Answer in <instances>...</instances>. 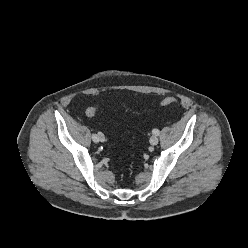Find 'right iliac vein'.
Masks as SVG:
<instances>
[{
    "label": "right iliac vein",
    "mask_w": 248,
    "mask_h": 248,
    "mask_svg": "<svg viewBox=\"0 0 248 248\" xmlns=\"http://www.w3.org/2000/svg\"><path fill=\"white\" fill-rule=\"evenodd\" d=\"M97 139H98V142L101 141L103 142L105 140L104 136L103 135H99V136H96Z\"/></svg>",
    "instance_id": "obj_1"
}]
</instances>
